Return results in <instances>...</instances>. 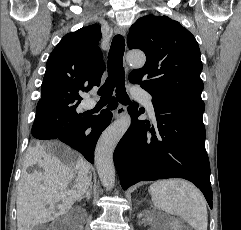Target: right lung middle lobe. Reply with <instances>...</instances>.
Instances as JSON below:
<instances>
[{
	"label": "right lung middle lobe",
	"instance_id": "dd1d6c3e",
	"mask_svg": "<svg viewBox=\"0 0 241 230\" xmlns=\"http://www.w3.org/2000/svg\"><path fill=\"white\" fill-rule=\"evenodd\" d=\"M36 111L41 114L40 119L43 125L60 132L70 131L78 127L86 119V114L80 113L78 104L48 108L37 107Z\"/></svg>",
	"mask_w": 241,
	"mask_h": 230
}]
</instances>
